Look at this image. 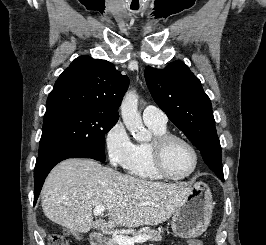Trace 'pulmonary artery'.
Here are the masks:
<instances>
[{
	"mask_svg": "<svg viewBox=\"0 0 266 245\" xmlns=\"http://www.w3.org/2000/svg\"><path fill=\"white\" fill-rule=\"evenodd\" d=\"M142 116L146 123L166 125L168 121L167 115L156 106H146L143 109Z\"/></svg>",
	"mask_w": 266,
	"mask_h": 245,
	"instance_id": "1",
	"label": "pulmonary artery"
}]
</instances>
